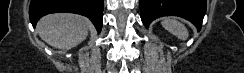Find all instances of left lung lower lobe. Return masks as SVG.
Instances as JSON below:
<instances>
[{
    "label": "left lung lower lobe",
    "mask_w": 244,
    "mask_h": 73,
    "mask_svg": "<svg viewBox=\"0 0 244 73\" xmlns=\"http://www.w3.org/2000/svg\"><path fill=\"white\" fill-rule=\"evenodd\" d=\"M140 9L146 28L158 17L174 15L189 20L200 30L206 13V0H140Z\"/></svg>",
    "instance_id": "obj_1"
}]
</instances>
